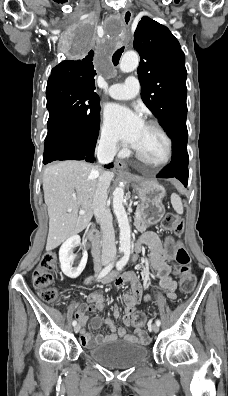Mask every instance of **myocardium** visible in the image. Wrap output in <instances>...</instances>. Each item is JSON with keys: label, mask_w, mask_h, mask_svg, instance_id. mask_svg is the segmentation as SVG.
Here are the masks:
<instances>
[{"label": "myocardium", "mask_w": 228, "mask_h": 396, "mask_svg": "<svg viewBox=\"0 0 228 396\" xmlns=\"http://www.w3.org/2000/svg\"><path fill=\"white\" fill-rule=\"evenodd\" d=\"M146 125L151 127V128L156 129L164 137V139L166 140V143H167L166 156H165V158L162 161L157 162V163H153V162L147 160L145 157H143L139 153V151L136 148H134L135 156L140 162H142L145 165H148V166L154 167V168H161V167L167 165L172 159V156H173V142H172V139L169 136V134L166 132V130L161 125H159L157 122L148 121L146 123Z\"/></svg>", "instance_id": "1"}]
</instances>
